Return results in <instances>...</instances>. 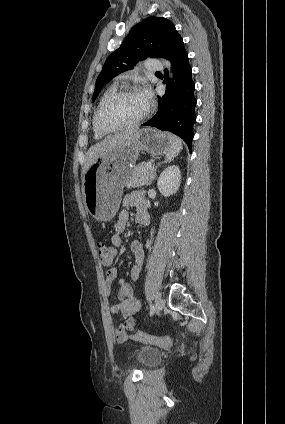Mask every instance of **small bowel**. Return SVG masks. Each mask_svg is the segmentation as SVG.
<instances>
[{"label": "small bowel", "mask_w": 285, "mask_h": 424, "mask_svg": "<svg viewBox=\"0 0 285 424\" xmlns=\"http://www.w3.org/2000/svg\"><path fill=\"white\" fill-rule=\"evenodd\" d=\"M122 204L124 208L120 211L118 220L114 224L115 233L111 238L112 245L117 248L123 245L122 234L130 218L129 208L135 207L137 209L136 222L138 224L146 225L149 221L143 191H133L126 194L123 197ZM131 251L134 255V265L131 268L130 277L132 280L137 281L140 278L145 258L142 242L133 240L131 242ZM117 276L118 271L116 268H110L105 273L104 295L107 298L113 293L112 284L117 279ZM117 299V303L110 305L109 310L112 315H120L124 319V322L115 328L113 332L115 340L122 343L131 337L135 329L136 322L133 316L140 311L141 303L134 295V288L123 279L118 281Z\"/></svg>", "instance_id": "small-bowel-1"}]
</instances>
